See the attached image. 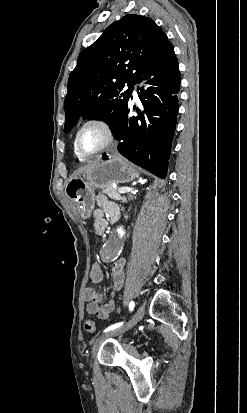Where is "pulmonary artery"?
I'll list each match as a JSON object with an SVG mask.
<instances>
[{"label":"pulmonary artery","mask_w":247,"mask_h":413,"mask_svg":"<svg viewBox=\"0 0 247 413\" xmlns=\"http://www.w3.org/2000/svg\"><path fill=\"white\" fill-rule=\"evenodd\" d=\"M124 88L127 89V88H128V85L125 84V85H124ZM132 96H133L134 100H137V99H138V95H137V91H136V86H133V88H132Z\"/></svg>","instance_id":"1"}]
</instances>
